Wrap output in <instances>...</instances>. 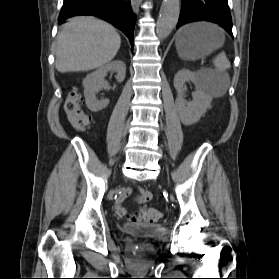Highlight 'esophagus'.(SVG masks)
<instances>
[{
  "mask_svg": "<svg viewBox=\"0 0 279 279\" xmlns=\"http://www.w3.org/2000/svg\"><path fill=\"white\" fill-rule=\"evenodd\" d=\"M141 0H131L132 9L135 13H138L139 11V5Z\"/></svg>",
  "mask_w": 279,
  "mask_h": 279,
  "instance_id": "obj_1",
  "label": "esophagus"
}]
</instances>
